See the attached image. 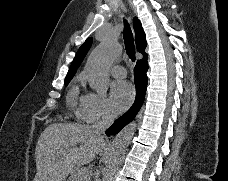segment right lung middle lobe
I'll return each mask as SVG.
<instances>
[{
	"label": "right lung middle lobe",
	"mask_w": 228,
	"mask_h": 181,
	"mask_svg": "<svg viewBox=\"0 0 228 181\" xmlns=\"http://www.w3.org/2000/svg\"><path fill=\"white\" fill-rule=\"evenodd\" d=\"M70 82V80H68V81H65V85H68V83Z\"/></svg>",
	"instance_id": "right-lung-middle-lobe-1"
}]
</instances>
